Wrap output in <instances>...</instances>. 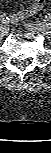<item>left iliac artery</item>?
<instances>
[{
  "label": "left iliac artery",
  "instance_id": "1",
  "mask_svg": "<svg viewBox=\"0 0 51 153\" xmlns=\"http://www.w3.org/2000/svg\"><path fill=\"white\" fill-rule=\"evenodd\" d=\"M45 20L48 22L49 25H51V14H48L45 16Z\"/></svg>",
  "mask_w": 51,
  "mask_h": 153
}]
</instances>
